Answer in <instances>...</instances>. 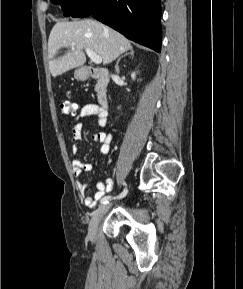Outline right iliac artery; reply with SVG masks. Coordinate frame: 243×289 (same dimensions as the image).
<instances>
[{"instance_id":"82829eb1","label":"right iliac artery","mask_w":243,"mask_h":289,"mask_svg":"<svg viewBox=\"0 0 243 289\" xmlns=\"http://www.w3.org/2000/svg\"><path fill=\"white\" fill-rule=\"evenodd\" d=\"M123 185L125 186L124 190L121 192V194L119 196H117L116 198H123L126 196L128 190L126 188V183L124 182ZM111 199V196H105L100 202L101 204H106L108 203V201Z\"/></svg>"}]
</instances>
